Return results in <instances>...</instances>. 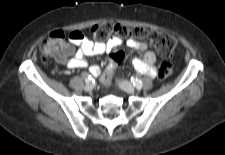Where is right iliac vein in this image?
Returning <instances> with one entry per match:
<instances>
[{
	"mask_svg": "<svg viewBox=\"0 0 225 155\" xmlns=\"http://www.w3.org/2000/svg\"><path fill=\"white\" fill-rule=\"evenodd\" d=\"M86 92H90L93 89V85L91 83H87L84 87Z\"/></svg>",
	"mask_w": 225,
	"mask_h": 155,
	"instance_id": "63e3f726",
	"label": "right iliac vein"
}]
</instances>
